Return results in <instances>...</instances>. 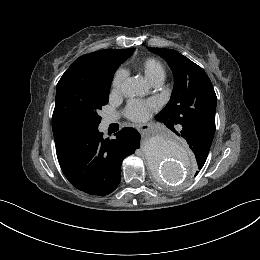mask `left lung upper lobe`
I'll list each match as a JSON object with an SVG mask.
<instances>
[{
  "label": "left lung upper lobe",
  "instance_id": "left-lung-upper-lobe-1",
  "mask_svg": "<svg viewBox=\"0 0 260 260\" xmlns=\"http://www.w3.org/2000/svg\"><path fill=\"white\" fill-rule=\"evenodd\" d=\"M148 50L163 57L174 74L170 101L156 118L168 125L193 126L213 138L217 97L205 71L175 50L151 47ZM204 163L197 162L199 170Z\"/></svg>",
  "mask_w": 260,
  "mask_h": 260
}]
</instances>
